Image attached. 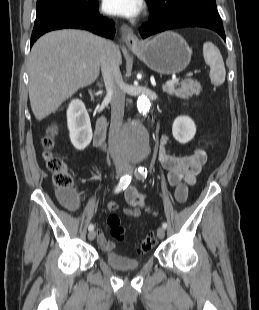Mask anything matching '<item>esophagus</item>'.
<instances>
[{"label": "esophagus", "instance_id": "esophagus-1", "mask_svg": "<svg viewBox=\"0 0 259 310\" xmlns=\"http://www.w3.org/2000/svg\"><path fill=\"white\" fill-rule=\"evenodd\" d=\"M120 34L121 39L126 43V45L130 49H136L141 46L140 40L129 26L122 25L120 27Z\"/></svg>", "mask_w": 259, "mask_h": 310}]
</instances>
